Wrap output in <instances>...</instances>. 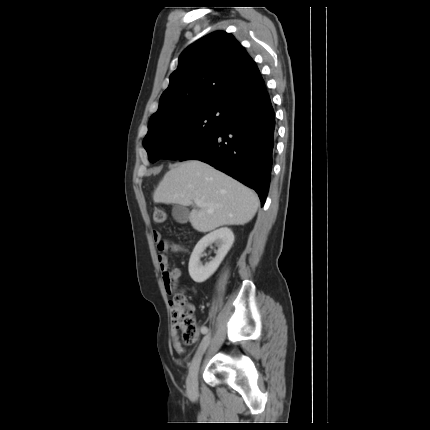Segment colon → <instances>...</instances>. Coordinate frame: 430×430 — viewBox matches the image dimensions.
<instances>
[{
  "label": "colon",
  "mask_w": 430,
  "mask_h": 430,
  "mask_svg": "<svg viewBox=\"0 0 430 430\" xmlns=\"http://www.w3.org/2000/svg\"><path fill=\"white\" fill-rule=\"evenodd\" d=\"M166 217V212L163 209H156L153 213V219L156 223H164L166 221ZM170 308L173 325L178 332L181 333L183 343H192L197 335V325L194 318L193 308L187 302L183 293H175L170 302Z\"/></svg>",
  "instance_id": "1"
}]
</instances>
